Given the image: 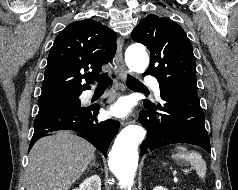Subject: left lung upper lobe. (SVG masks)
Wrapping results in <instances>:
<instances>
[{"instance_id": "1", "label": "left lung upper lobe", "mask_w": 238, "mask_h": 190, "mask_svg": "<svg viewBox=\"0 0 238 190\" xmlns=\"http://www.w3.org/2000/svg\"><path fill=\"white\" fill-rule=\"evenodd\" d=\"M131 36L150 50L151 62L146 73L157 78L160 91L197 94L193 48L176 22L150 14L134 28Z\"/></svg>"}]
</instances>
